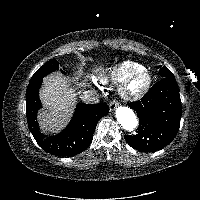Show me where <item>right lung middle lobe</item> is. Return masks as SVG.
Listing matches in <instances>:
<instances>
[{"mask_svg":"<svg viewBox=\"0 0 200 200\" xmlns=\"http://www.w3.org/2000/svg\"><path fill=\"white\" fill-rule=\"evenodd\" d=\"M59 64L55 59H50L47 63H45L42 67H40L32 76L30 82H33L38 79H42L47 74L52 71L58 70Z\"/></svg>","mask_w":200,"mask_h":200,"instance_id":"1","label":"right lung middle lobe"}]
</instances>
